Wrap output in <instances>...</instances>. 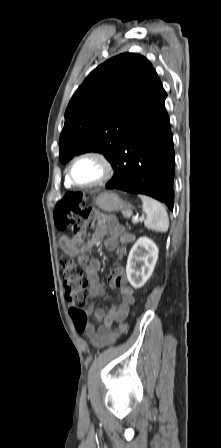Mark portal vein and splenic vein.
<instances>
[{
    "mask_svg": "<svg viewBox=\"0 0 221 448\" xmlns=\"http://www.w3.org/2000/svg\"><path fill=\"white\" fill-rule=\"evenodd\" d=\"M142 220H143V218L134 217L132 222H133V224H137L139 221H142Z\"/></svg>",
    "mask_w": 221,
    "mask_h": 448,
    "instance_id": "portal-vein-and-splenic-vein-1",
    "label": "portal vein and splenic vein"
}]
</instances>
